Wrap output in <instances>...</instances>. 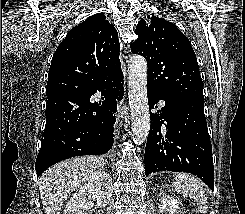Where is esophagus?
<instances>
[{"mask_svg":"<svg viewBox=\"0 0 245 214\" xmlns=\"http://www.w3.org/2000/svg\"><path fill=\"white\" fill-rule=\"evenodd\" d=\"M118 127H117V129L115 130V135H116V137H118Z\"/></svg>","mask_w":245,"mask_h":214,"instance_id":"obj_1","label":"esophagus"}]
</instances>
